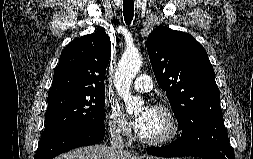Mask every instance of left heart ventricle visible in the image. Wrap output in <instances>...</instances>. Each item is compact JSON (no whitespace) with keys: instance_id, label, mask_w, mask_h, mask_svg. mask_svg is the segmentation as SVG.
<instances>
[{"instance_id":"obj_1","label":"left heart ventricle","mask_w":253,"mask_h":159,"mask_svg":"<svg viewBox=\"0 0 253 159\" xmlns=\"http://www.w3.org/2000/svg\"><path fill=\"white\" fill-rule=\"evenodd\" d=\"M168 130L169 126L164 114L156 109H152L144 128L139 132L148 138H159L164 136Z\"/></svg>"}]
</instances>
